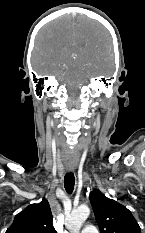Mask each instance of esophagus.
I'll return each mask as SVG.
<instances>
[{
	"label": "esophagus",
	"instance_id": "34e87169",
	"mask_svg": "<svg viewBox=\"0 0 145 233\" xmlns=\"http://www.w3.org/2000/svg\"><path fill=\"white\" fill-rule=\"evenodd\" d=\"M72 170H73V169H71V168H70V169H68V171H72Z\"/></svg>",
	"mask_w": 145,
	"mask_h": 233
}]
</instances>
